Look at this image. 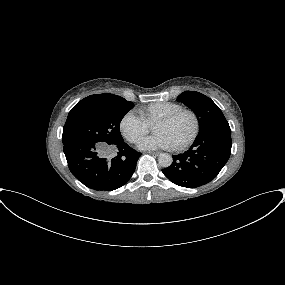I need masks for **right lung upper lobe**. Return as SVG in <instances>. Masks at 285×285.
<instances>
[{
	"instance_id": "obj_1",
	"label": "right lung upper lobe",
	"mask_w": 285,
	"mask_h": 285,
	"mask_svg": "<svg viewBox=\"0 0 285 285\" xmlns=\"http://www.w3.org/2000/svg\"><path fill=\"white\" fill-rule=\"evenodd\" d=\"M105 95H109V94L91 95L90 97H92V96H105Z\"/></svg>"
}]
</instances>
